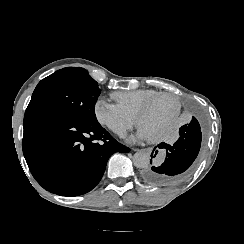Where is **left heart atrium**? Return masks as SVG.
I'll return each instance as SVG.
<instances>
[{
  "label": "left heart atrium",
  "mask_w": 244,
  "mask_h": 244,
  "mask_svg": "<svg viewBox=\"0 0 244 244\" xmlns=\"http://www.w3.org/2000/svg\"><path fill=\"white\" fill-rule=\"evenodd\" d=\"M140 137H147L150 139H158L160 136L149 133L144 127L140 130Z\"/></svg>",
  "instance_id": "39dd6f15"
}]
</instances>
